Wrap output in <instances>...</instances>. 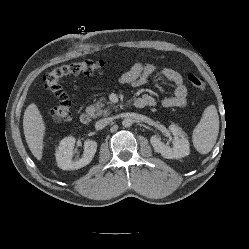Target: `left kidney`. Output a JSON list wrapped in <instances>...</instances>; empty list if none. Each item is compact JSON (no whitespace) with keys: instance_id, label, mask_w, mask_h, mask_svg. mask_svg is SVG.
I'll use <instances>...</instances> for the list:
<instances>
[{"instance_id":"5707ae66","label":"left kidney","mask_w":249,"mask_h":249,"mask_svg":"<svg viewBox=\"0 0 249 249\" xmlns=\"http://www.w3.org/2000/svg\"><path fill=\"white\" fill-rule=\"evenodd\" d=\"M169 130L174 135L173 147L164 144L159 137L154 135L150 138V143L155 152L160 153L162 157L167 159H178L189 155V141L185 135L175 125H170Z\"/></svg>"}]
</instances>
